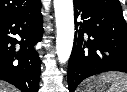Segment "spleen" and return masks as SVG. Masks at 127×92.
<instances>
[{"mask_svg": "<svg viewBox=\"0 0 127 92\" xmlns=\"http://www.w3.org/2000/svg\"><path fill=\"white\" fill-rule=\"evenodd\" d=\"M98 81L110 85L106 92H127V74L109 72L100 75Z\"/></svg>", "mask_w": 127, "mask_h": 92, "instance_id": "3e777b00", "label": "spleen"}]
</instances>
